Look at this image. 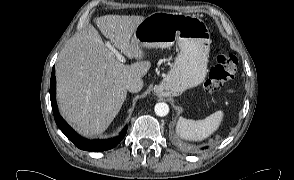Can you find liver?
<instances>
[{
    "instance_id": "liver-1",
    "label": "liver",
    "mask_w": 294,
    "mask_h": 180,
    "mask_svg": "<svg viewBox=\"0 0 294 180\" xmlns=\"http://www.w3.org/2000/svg\"><path fill=\"white\" fill-rule=\"evenodd\" d=\"M145 17L105 15L96 19L101 33L129 59L121 63L89 24L70 38L56 62L57 101L62 116L83 136L102 134L127 96L126 84L142 78L151 67L133 35Z\"/></svg>"
}]
</instances>
